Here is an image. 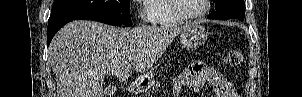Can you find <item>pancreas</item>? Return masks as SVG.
I'll return each instance as SVG.
<instances>
[{
	"instance_id": "pancreas-1",
	"label": "pancreas",
	"mask_w": 302,
	"mask_h": 97,
	"mask_svg": "<svg viewBox=\"0 0 302 97\" xmlns=\"http://www.w3.org/2000/svg\"><path fill=\"white\" fill-rule=\"evenodd\" d=\"M158 87H159V83H158V82H157V83L153 82L150 91L153 92V91H155L156 89H158Z\"/></svg>"
}]
</instances>
